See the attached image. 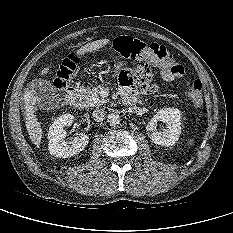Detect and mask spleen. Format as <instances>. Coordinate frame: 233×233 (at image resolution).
I'll use <instances>...</instances> for the list:
<instances>
[{
  "label": "spleen",
  "instance_id": "3e777b00",
  "mask_svg": "<svg viewBox=\"0 0 233 233\" xmlns=\"http://www.w3.org/2000/svg\"><path fill=\"white\" fill-rule=\"evenodd\" d=\"M193 144V139L191 138L189 141H188V146H191Z\"/></svg>",
  "mask_w": 233,
  "mask_h": 233
}]
</instances>
